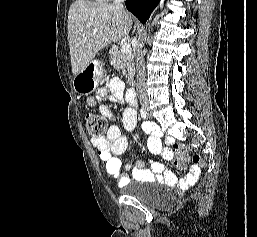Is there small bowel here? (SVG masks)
Returning a JSON list of instances; mask_svg holds the SVG:
<instances>
[{
	"instance_id": "1",
	"label": "small bowel",
	"mask_w": 257,
	"mask_h": 237,
	"mask_svg": "<svg viewBox=\"0 0 257 237\" xmlns=\"http://www.w3.org/2000/svg\"><path fill=\"white\" fill-rule=\"evenodd\" d=\"M123 97V81L119 78H111L98 89L97 95L88 97L86 103L88 106L94 107L101 98H107L112 102H121ZM99 110L105 119L111 123V126L105 137L92 139V145L96 149L100 160L105 163L106 172L114 177L118 186L126 185L131 178L150 182L160 180L169 185H174L178 182V177L159 162H152L150 170L144 168L142 161H135L123 168L119 156L128 149L129 139L121 133L119 126L116 125L117 117L107 104H101ZM121 121L125 130L132 131L137 122L136 109L133 107L125 108ZM143 129L150 135L148 140L150 153L157 154L162 150L161 132L156 125L148 122L143 123ZM163 154L166 158L172 156V152L168 148L163 150ZM188 161L189 159L186 157L185 162ZM199 173V166H192L185 177L186 181L194 182L198 178Z\"/></svg>"
}]
</instances>
